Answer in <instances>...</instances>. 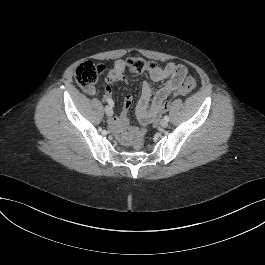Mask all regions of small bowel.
<instances>
[{"label":"small bowel","instance_id":"obj_1","mask_svg":"<svg viewBox=\"0 0 265 265\" xmlns=\"http://www.w3.org/2000/svg\"><path fill=\"white\" fill-rule=\"evenodd\" d=\"M126 66L123 60L115 61L110 69L104 64L98 66L100 73L107 72V85L103 89L104 98L107 103L108 101L113 102L111 85L115 82L126 80ZM186 73L187 70L183 65L175 63H168L165 66H156V68L150 71L149 75L152 81H164V83L156 93H153V88L149 82L144 81L142 83L141 95L137 105L138 116L142 122L146 123L158 114L157 109L159 106L178 88ZM89 92L92 95L97 94L96 89H92ZM132 101L133 99L131 96H126L121 115L119 117H111L108 120L111 128L120 130L127 125V113L132 105Z\"/></svg>","mask_w":265,"mask_h":265}]
</instances>
